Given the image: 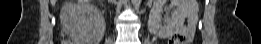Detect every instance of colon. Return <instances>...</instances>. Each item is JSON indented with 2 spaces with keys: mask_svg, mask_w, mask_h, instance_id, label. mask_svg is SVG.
<instances>
[{
  "mask_svg": "<svg viewBox=\"0 0 261 44\" xmlns=\"http://www.w3.org/2000/svg\"><path fill=\"white\" fill-rule=\"evenodd\" d=\"M185 39L182 36H177L169 40L170 44H184Z\"/></svg>",
  "mask_w": 261,
  "mask_h": 44,
  "instance_id": "5ec220e1",
  "label": "colon"
}]
</instances>
